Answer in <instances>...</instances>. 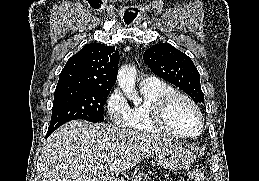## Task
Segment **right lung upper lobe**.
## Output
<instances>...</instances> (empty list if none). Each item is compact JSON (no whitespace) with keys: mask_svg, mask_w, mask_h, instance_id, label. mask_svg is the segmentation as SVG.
<instances>
[{"mask_svg":"<svg viewBox=\"0 0 259 181\" xmlns=\"http://www.w3.org/2000/svg\"><path fill=\"white\" fill-rule=\"evenodd\" d=\"M119 53L100 43L85 45L67 61L56 88L110 91L117 79Z\"/></svg>","mask_w":259,"mask_h":181,"instance_id":"cb5924a9","label":"right lung upper lobe"}]
</instances>
